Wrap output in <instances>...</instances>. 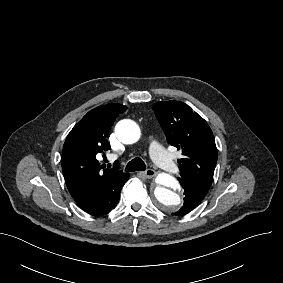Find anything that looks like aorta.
I'll use <instances>...</instances> for the list:
<instances>
[{"mask_svg": "<svg viewBox=\"0 0 283 283\" xmlns=\"http://www.w3.org/2000/svg\"><path fill=\"white\" fill-rule=\"evenodd\" d=\"M115 134L122 143L133 144L139 140L141 131L135 121L123 119L116 124ZM156 182L154 196L160 208L165 211L178 209L181 204V197L176 192L179 188L178 181L170 174L159 173Z\"/></svg>", "mask_w": 283, "mask_h": 283, "instance_id": "obj_1", "label": "aorta"}]
</instances>
